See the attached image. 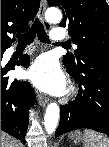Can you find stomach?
<instances>
[{"mask_svg":"<svg viewBox=\"0 0 109 147\" xmlns=\"http://www.w3.org/2000/svg\"><path fill=\"white\" fill-rule=\"evenodd\" d=\"M84 134V133H83ZM82 134L81 131H75L69 134V138L74 142V143H79V142H84V135Z\"/></svg>","mask_w":109,"mask_h":147,"instance_id":"1","label":"stomach"}]
</instances>
